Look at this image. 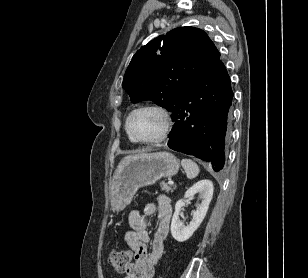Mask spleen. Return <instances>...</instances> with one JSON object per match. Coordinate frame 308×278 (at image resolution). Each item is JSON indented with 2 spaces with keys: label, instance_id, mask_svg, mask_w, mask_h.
I'll return each mask as SVG.
<instances>
[{
  "label": "spleen",
  "instance_id": "1",
  "mask_svg": "<svg viewBox=\"0 0 308 278\" xmlns=\"http://www.w3.org/2000/svg\"><path fill=\"white\" fill-rule=\"evenodd\" d=\"M181 165L184 168L188 179H194L198 176L200 169L194 161L190 159H182Z\"/></svg>",
  "mask_w": 308,
  "mask_h": 278
}]
</instances>
